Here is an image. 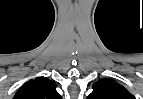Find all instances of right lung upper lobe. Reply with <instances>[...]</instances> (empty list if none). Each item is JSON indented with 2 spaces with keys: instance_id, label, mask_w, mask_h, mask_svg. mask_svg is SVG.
I'll list each match as a JSON object with an SVG mask.
<instances>
[{
  "instance_id": "1",
  "label": "right lung upper lobe",
  "mask_w": 143,
  "mask_h": 99,
  "mask_svg": "<svg viewBox=\"0 0 143 99\" xmlns=\"http://www.w3.org/2000/svg\"><path fill=\"white\" fill-rule=\"evenodd\" d=\"M56 84L46 77H37L21 86L13 99H61Z\"/></svg>"
}]
</instances>
